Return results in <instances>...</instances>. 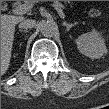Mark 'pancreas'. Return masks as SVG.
<instances>
[{"label": "pancreas", "mask_w": 109, "mask_h": 109, "mask_svg": "<svg viewBox=\"0 0 109 109\" xmlns=\"http://www.w3.org/2000/svg\"><path fill=\"white\" fill-rule=\"evenodd\" d=\"M32 2L35 3V1H32ZM54 2H55V1H54ZM56 2H58V3L61 4V5H62V3H64V4L69 3V2H66V1H56ZM100 14H101V13H100L98 10H94V9H91L90 12H89V15H90L91 17L100 16Z\"/></svg>", "instance_id": "obj_1"}]
</instances>
